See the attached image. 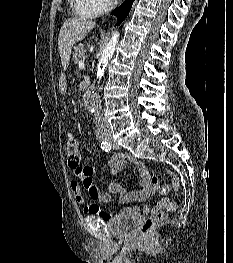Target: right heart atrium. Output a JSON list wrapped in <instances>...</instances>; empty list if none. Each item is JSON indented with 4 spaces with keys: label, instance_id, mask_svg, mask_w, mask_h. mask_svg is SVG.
Returning a JSON list of instances; mask_svg holds the SVG:
<instances>
[{
    "label": "right heart atrium",
    "instance_id": "obj_1",
    "mask_svg": "<svg viewBox=\"0 0 233 263\" xmlns=\"http://www.w3.org/2000/svg\"><path fill=\"white\" fill-rule=\"evenodd\" d=\"M95 14H102L111 10L117 0H86Z\"/></svg>",
    "mask_w": 233,
    "mask_h": 263
}]
</instances>
